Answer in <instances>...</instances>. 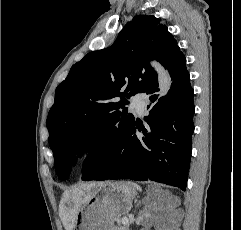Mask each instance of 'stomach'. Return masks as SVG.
I'll return each instance as SVG.
<instances>
[{
	"label": "stomach",
	"mask_w": 241,
	"mask_h": 230,
	"mask_svg": "<svg viewBox=\"0 0 241 230\" xmlns=\"http://www.w3.org/2000/svg\"><path fill=\"white\" fill-rule=\"evenodd\" d=\"M135 195L136 190L129 183L95 184L76 215L74 230H114V222L130 211Z\"/></svg>",
	"instance_id": "1"
}]
</instances>
